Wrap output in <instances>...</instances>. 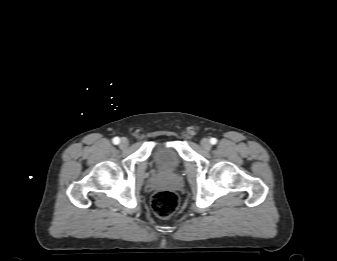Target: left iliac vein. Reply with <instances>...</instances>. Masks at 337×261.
<instances>
[{"label": "left iliac vein", "mask_w": 337, "mask_h": 261, "mask_svg": "<svg viewBox=\"0 0 337 261\" xmlns=\"http://www.w3.org/2000/svg\"><path fill=\"white\" fill-rule=\"evenodd\" d=\"M201 146L205 149V150H210L211 149V144L210 141L207 138H203L201 140Z\"/></svg>", "instance_id": "left-iliac-vein-1"}]
</instances>
